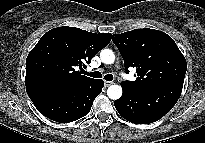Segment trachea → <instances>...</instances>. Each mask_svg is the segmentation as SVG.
Listing matches in <instances>:
<instances>
[{"label": "trachea", "instance_id": "trachea-1", "mask_svg": "<svg viewBox=\"0 0 205 143\" xmlns=\"http://www.w3.org/2000/svg\"><path fill=\"white\" fill-rule=\"evenodd\" d=\"M84 74L88 75L90 77H93V78H101L102 77V74L99 71H95V72H91V73H88V72L84 71ZM104 79L107 80V81H112L113 80V75L112 74H107V75L104 76Z\"/></svg>", "mask_w": 205, "mask_h": 143}]
</instances>
